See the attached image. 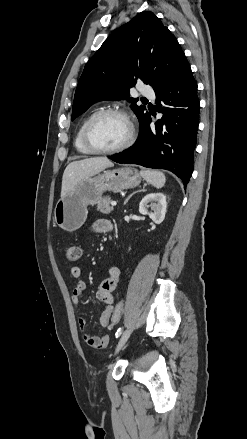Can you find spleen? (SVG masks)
Instances as JSON below:
<instances>
[{
    "label": "spleen",
    "instance_id": "spleen-1",
    "mask_svg": "<svg viewBox=\"0 0 247 439\" xmlns=\"http://www.w3.org/2000/svg\"><path fill=\"white\" fill-rule=\"evenodd\" d=\"M140 175L156 188H162L166 182L165 175L156 170H141Z\"/></svg>",
    "mask_w": 247,
    "mask_h": 439
}]
</instances>
